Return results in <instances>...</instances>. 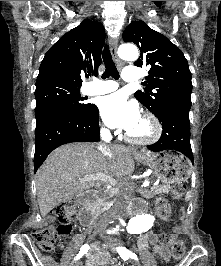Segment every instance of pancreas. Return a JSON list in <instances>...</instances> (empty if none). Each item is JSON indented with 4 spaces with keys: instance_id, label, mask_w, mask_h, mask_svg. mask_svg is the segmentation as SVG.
<instances>
[{
    "instance_id": "pancreas-1",
    "label": "pancreas",
    "mask_w": 221,
    "mask_h": 266,
    "mask_svg": "<svg viewBox=\"0 0 221 266\" xmlns=\"http://www.w3.org/2000/svg\"><path fill=\"white\" fill-rule=\"evenodd\" d=\"M171 190V186L170 185H159L156 187L152 188V193L153 195L156 194H162V193H166L168 194ZM116 193L115 189L110 190L107 194L103 195L96 203V207L98 209H100L101 207H108L110 203H112V201L110 200L113 195Z\"/></svg>"
}]
</instances>
